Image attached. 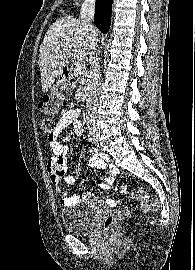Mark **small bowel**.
Wrapping results in <instances>:
<instances>
[{
    "mask_svg": "<svg viewBox=\"0 0 195 270\" xmlns=\"http://www.w3.org/2000/svg\"><path fill=\"white\" fill-rule=\"evenodd\" d=\"M73 125L74 132L77 136H80L83 131V123L80 119L79 109H68L62 113L60 119L58 120L55 130L52 135L49 136V146L52 152L50 159L46 164V169L50 177L52 185L56 188L57 192L62 196V205L64 207H73L81 199L84 203H99L96 196L87 192L83 195H78L77 193H68L62 191L60 188L61 180L65 184L72 186L75 183V179L72 175L66 174V154L68 147L59 142L60 134L70 125ZM80 141L78 142V146ZM92 157L90 159V165L97 169L107 168L109 175L103 177V181L100 187L105 189L113 184L114 176L119 173L118 167L109 162L108 158L98 154L95 150H91ZM106 204L109 207H114L116 205L115 199H107Z\"/></svg>",
    "mask_w": 195,
    "mask_h": 270,
    "instance_id": "1",
    "label": "small bowel"
}]
</instances>
